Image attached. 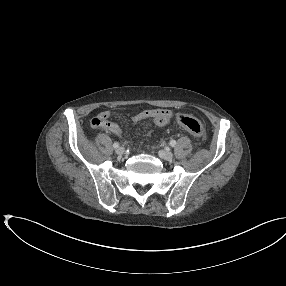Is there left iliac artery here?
<instances>
[{
  "instance_id": "1",
  "label": "left iliac artery",
  "mask_w": 286,
  "mask_h": 286,
  "mask_svg": "<svg viewBox=\"0 0 286 286\" xmlns=\"http://www.w3.org/2000/svg\"><path fill=\"white\" fill-rule=\"evenodd\" d=\"M176 145V141L175 140H171L170 141V146L174 147Z\"/></svg>"
}]
</instances>
